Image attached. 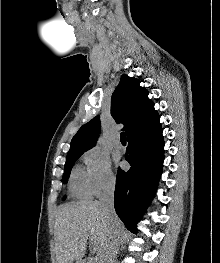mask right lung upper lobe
<instances>
[{
    "instance_id": "right-lung-upper-lobe-1",
    "label": "right lung upper lobe",
    "mask_w": 220,
    "mask_h": 263,
    "mask_svg": "<svg viewBox=\"0 0 220 263\" xmlns=\"http://www.w3.org/2000/svg\"><path fill=\"white\" fill-rule=\"evenodd\" d=\"M139 84L138 79L123 75L111 98V115L117 123L124 124L127 139L161 126L154 103L148 98V91ZM100 125L98 116L84 124L72 138L67 155L83 153L92 148Z\"/></svg>"
}]
</instances>
